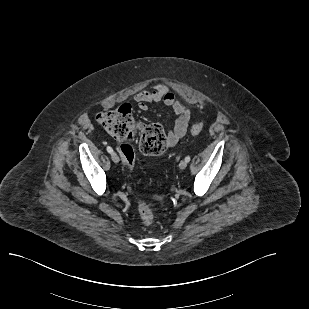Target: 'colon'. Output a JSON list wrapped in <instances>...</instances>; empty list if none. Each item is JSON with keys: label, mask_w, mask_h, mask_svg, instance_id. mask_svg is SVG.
<instances>
[{"label": "colon", "mask_w": 309, "mask_h": 309, "mask_svg": "<svg viewBox=\"0 0 309 309\" xmlns=\"http://www.w3.org/2000/svg\"><path fill=\"white\" fill-rule=\"evenodd\" d=\"M97 122L112 136L119 140V152L125 165L133 170L135 151L132 144L134 135L139 133V146L143 154L159 156L168 149V142L163 128L156 123H137L128 106H122L115 110L104 111L97 115ZM203 130L202 124H196L191 128L192 134H198ZM156 200L163 196H154ZM138 211L144 225H151L154 220L153 212L145 200L139 198Z\"/></svg>", "instance_id": "1"}]
</instances>
